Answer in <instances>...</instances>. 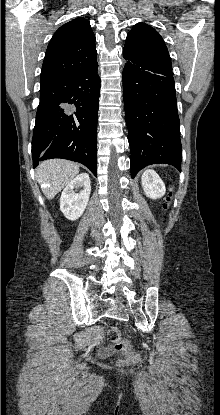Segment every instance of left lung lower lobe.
<instances>
[{
    "instance_id": "1",
    "label": "left lung lower lobe",
    "mask_w": 220,
    "mask_h": 415,
    "mask_svg": "<svg viewBox=\"0 0 220 415\" xmlns=\"http://www.w3.org/2000/svg\"><path fill=\"white\" fill-rule=\"evenodd\" d=\"M123 91L131 176L157 163L181 171L180 121L172 70L127 62Z\"/></svg>"
}]
</instances>
